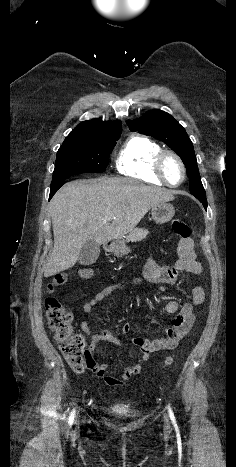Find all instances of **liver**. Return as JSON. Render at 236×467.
<instances>
[{
	"mask_svg": "<svg viewBox=\"0 0 236 467\" xmlns=\"http://www.w3.org/2000/svg\"><path fill=\"white\" fill-rule=\"evenodd\" d=\"M174 198L171 190L126 178L75 180L65 184L49 204L54 247L44 266V277L73 267L88 240L100 245L120 239L153 206Z\"/></svg>",
	"mask_w": 236,
	"mask_h": 467,
	"instance_id": "liver-1",
	"label": "liver"
}]
</instances>
